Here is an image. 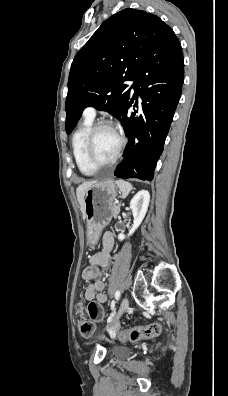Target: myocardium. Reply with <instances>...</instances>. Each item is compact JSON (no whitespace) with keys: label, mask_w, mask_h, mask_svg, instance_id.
<instances>
[{"label":"myocardium","mask_w":228,"mask_h":396,"mask_svg":"<svg viewBox=\"0 0 228 396\" xmlns=\"http://www.w3.org/2000/svg\"><path fill=\"white\" fill-rule=\"evenodd\" d=\"M102 128H111L114 130V132L117 134V136L119 138V146H118V149H117L115 155L113 156V158L110 161L103 163V164H99V163L95 162L92 157V145H93V141H94V137H95L96 133ZM125 143H126V140H125L124 135L122 134V132L119 130V128L114 123L107 121V120L99 121L91 127V129L86 137L85 145H84L85 159H86L88 165L96 170L105 168V167H109V166L115 164L118 161V159L121 157L122 152L125 147Z\"/></svg>","instance_id":"myocardium-1"}]
</instances>
